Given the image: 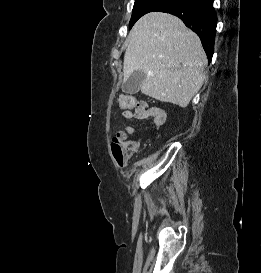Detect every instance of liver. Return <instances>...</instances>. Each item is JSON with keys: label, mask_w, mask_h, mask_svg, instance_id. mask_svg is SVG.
Returning a JSON list of instances; mask_svg holds the SVG:
<instances>
[{"label": "liver", "mask_w": 261, "mask_h": 273, "mask_svg": "<svg viewBox=\"0 0 261 273\" xmlns=\"http://www.w3.org/2000/svg\"><path fill=\"white\" fill-rule=\"evenodd\" d=\"M206 65V54L194 32L176 16L150 12L130 32L123 81L134 71H143L144 95L184 108L202 87Z\"/></svg>", "instance_id": "6515ba94"}]
</instances>
